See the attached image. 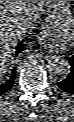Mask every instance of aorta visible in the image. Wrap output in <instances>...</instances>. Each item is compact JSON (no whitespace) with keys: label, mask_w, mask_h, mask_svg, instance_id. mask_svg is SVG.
I'll use <instances>...</instances> for the list:
<instances>
[{"label":"aorta","mask_w":74,"mask_h":122,"mask_svg":"<svg viewBox=\"0 0 74 122\" xmlns=\"http://www.w3.org/2000/svg\"><path fill=\"white\" fill-rule=\"evenodd\" d=\"M47 68L55 75H67L70 72V64L67 59L60 55L47 56Z\"/></svg>","instance_id":"aorta-1"}]
</instances>
